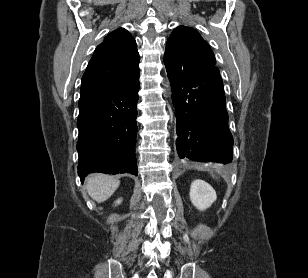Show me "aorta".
<instances>
[{
	"label": "aorta",
	"mask_w": 308,
	"mask_h": 278,
	"mask_svg": "<svg viewBox=\"0 0 308 278\" xmlns=\"http://www.w3.org/2000/svg\"><path fill=\"white\" fill-rule=\"evenodd\" d=\"M167 87H170V86H169V82H167Z\"/></svg>",
	"instance_id": "762f6f07"
}]
</instances>
